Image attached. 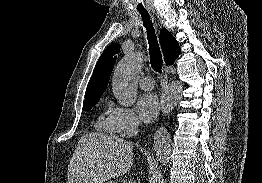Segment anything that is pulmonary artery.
<instances>
[{"label":"pulmonary artery","instance_id":"obj_1","mask_svg":"<svg viewBox=\"0 0 262 183\" xmlns=\"http://www.w3.org/2000/svg\"><path fill=\"white\" fill-rule=\"evenodd\" d=\"M140 87L144 90H152L155 86L154 80L151 76H143L139 81Z\"/></svg>","mask_w":262,"mask_h":183}]
</instances>
